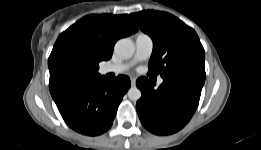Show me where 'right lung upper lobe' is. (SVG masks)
<instances>
[{"mask_svg":"<svg viewBox=\"0 0 261 150\" xmlns=\"http://www.w3.org/2000/svg\"><path fill=\"white\" fill-rule=\"evenodd\" d=\"M129 15H87L60 34L48 59L53 98L105 76L99 62L109 60L116 41L135 33Z\"/></svg>","mask_w":261,"mask_h":150,"instance_id":"right-lung-upper-lobe-1","label":"right lung upper lobe"}]
</instances>
